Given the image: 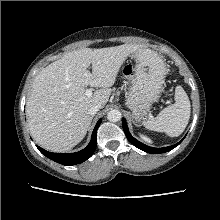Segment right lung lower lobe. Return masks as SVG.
<instances>
[{
    "instance_id": "right-lung-lower-lobe-1",
    "label": "right lung lower lobe",
    "mask_w": 220,
    "mask_h": 220,
    "mask_svg": "<svg viewBox=\"0 0 220 220\" xmlns=\"http://www.w3.org/2000/svg\"><path fill=\"white\" fill-rule=\"evenodd\" d=\"M101 121H102V119H99V121L97 122V124H96V126H95V128L93 130V133H92L91 141L88 144V146L85 149H83V150H81L79 152H76V153H66V154H63V153H52V152H48V151L42 149L39 146H37V148L46 157H48L49 159H51V160H53L55 162H58L60 164L70 166V165H75V164L82 163V162L86 161L87 159H89L93 155V153H94V151L96 149L97 129L100 126Z\"/></svg>"
}]
</instances>
